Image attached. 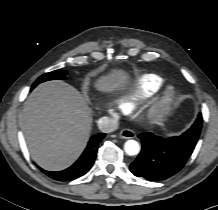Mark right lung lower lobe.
Listing matches in <instances>:
<instances>
[{"label": "right lung lower lobe", "mask_w": 218, "mask_h": 210, "mask_svg": "<svg viewBox=\"0 0 218 210\" xmlns=\"http://www.w3.org/2000/svg\"><path fill=\"white\" fill-rule=\"evenodd\" d=\"M33 88V87H32ZM106 134L99 133L90 138L88 145L81 157L69 168L58 171L49 172L41 169L47 176L58 181H69L86 174L94 164L98 144Z\"/></svg>", "instance_id": "1"}]
</instances>
